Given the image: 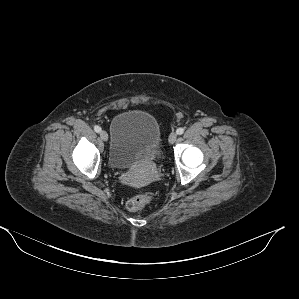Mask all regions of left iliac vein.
<instances>
[{"label":"left iliac vein","instance_id":"1","mask_svg":"<svg viewBox=\"0 0 299 299\" xmlns=\"http://www.w3.org/2000/svg\"><path fill=\"white\" fill-rule=\"evenodd\" d=\"M177 139V134L176 133H171L170 136H169V142L171 144H173Z\"/></svg>","mask_w":299,"mask_h":299}]
</instances>
